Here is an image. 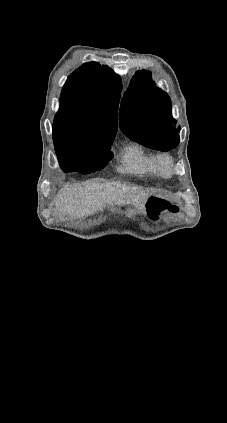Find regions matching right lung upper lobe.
I'll return each mask as SVG.
<instances>
[{
	"label": "right lung upper lobe",
	"mask_w": 227,
	"mask_h": 423,
	"mask_svg": "<svg viewBox=\"0 0 227 423\" xmlns=\"http://www.w3.org/2000/svg\"><path fill=\"white\" fill-rule=\"evenodd\" d=\"M122 82L106 65L89 62L68 78L53 125V140L115 137Z\"/></svg>",
	"instance_id": "right-lung-upper-lobe-1"
}]
</instances>
